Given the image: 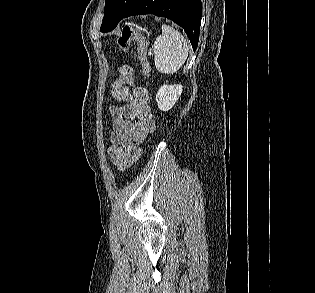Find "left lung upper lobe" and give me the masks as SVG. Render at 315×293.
Returning <instances> with one entry per match:
<instances>
[{
  "label": "left lung upper lobe",
  "mask_w": 315,
  "mask_h": 293,
  "mask_svg": "<svg viewBox=\"0 0 315 293\" xmlns=\"http://www.w3.org/2000/svg\"><path fill=\"white\" fill-rule=\"evenodd\" d=\"M139 0H106L101 32L112 31Z\"/></svg>",
  "instance_id": "1"
}]
</instances>
